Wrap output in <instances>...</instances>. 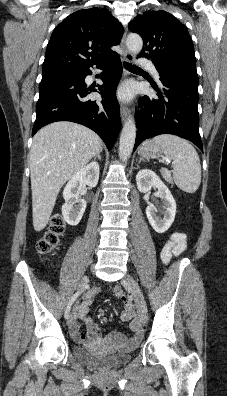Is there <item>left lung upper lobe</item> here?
I'll list each match as a JSON object with an SVG mask.
<instances>
[{"mask_svg": "<svg viewBox=\"0 0 227 396\" xmlns=\"http://www.w3.org/2000/svg\"><path fill=\"white\" fill-rule=\"evenodd\" d=\"M144 42L140 57H149L156 67L196 75L195 54L188 29L163 10L137 15L128 25Z\"/></svg>", "mask_w": 227, "mask_h": 396, "instance_id": "1", "label": "left lung upper lobe"}]
</instances>
